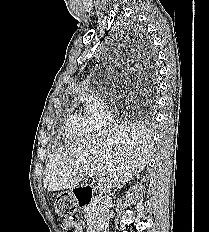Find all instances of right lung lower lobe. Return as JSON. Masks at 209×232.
Wrapping results in <instances>:
<instances>
[{"instance_id":"98d812e1","label":"right lung lower lobe","mask_w":209,"mask_h":232,"mask_svg":"<svg viewBox=\"0 0 209 232\" xmlns=\"http://www.w3.org/2000/svg\"><path fill=\"white\" fill-rule=\"evenodd\" d=\"M142 58L145 62L146 68L148 67L151 70L152 66L155 64V54L153 53L152 49L149 45H145L142 49Z\"/></svg>"}]
</instances>
